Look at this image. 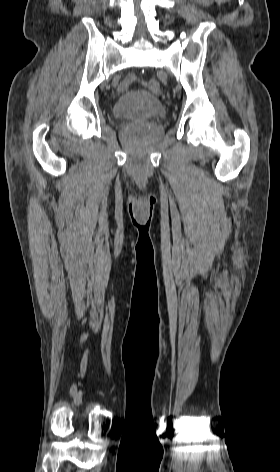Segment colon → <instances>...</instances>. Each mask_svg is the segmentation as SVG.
<instances>
[{"label":"colon","instance_id":"colon-1","mask_svg":"<svg viewBox=\"0 0 280 472\" xmlns=\"http://www.w3.org/2000/svg\"><path fill=\"white\" fill-rule=\"evenodd\" d=\"M148 87L154 93H159L160 92V86H159V83H158L157 80H154V79L150 80L148 82Z\"/></svg>","mask_w":280,"mask_h":472}]
</instances>
